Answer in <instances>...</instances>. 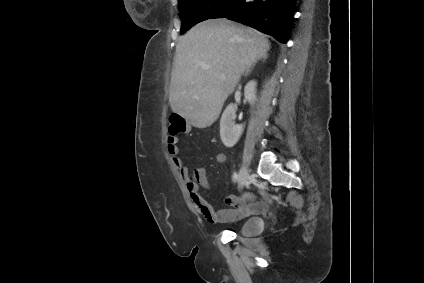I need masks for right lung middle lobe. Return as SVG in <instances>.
Here are the masks:
<instances>
[{
	"mask_svg": "<svg viewBox=\"0 0 424 283\" xmlns=\"http://www.w3.org/2000/svg\"><path fill=\"white\" fill-rule=\"evenodd\" d=\"M181 34H184L195 24L211 18L230 0H178Z\"/></svg>",
	"mask_w": 424,
	"mask_h": 283,
	"instance_id": "1",
	"label": "right lung middle lobe"
}]
</instances>
